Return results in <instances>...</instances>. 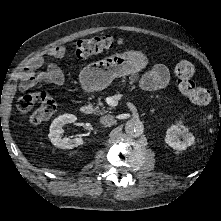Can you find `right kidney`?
<instances>
[{
    "label": "right kidney",
    "instance_id": "right-kidney-1",
    "mask_svg": "<svg viewBox=\"0 0 221 221\" xmlns=\"http://www.w3.org/2000/svg\"><path fill=\"white\" fill-rule=\"evenodd\" d=\"M77 120V117L73 114H63L55 118L50 125L49 139L51 143L59 147L61 149H73L74 147H78L84 143L81 137L79 138H61V134H63L62 127L68 123H73Z\"/></svg>",
    "mask_w": 221,
    "mask_h": 221
}]
</instances>
